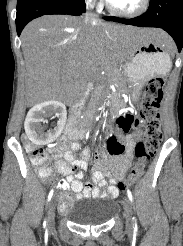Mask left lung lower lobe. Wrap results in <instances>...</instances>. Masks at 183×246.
I'll return each mask as SVG.
<instances>
[{
    "label": "left lung lower lobe",
    "mask_w": 183,
    "mask_h": 246,
    "mask_svg": "<svg viewBox=\"0 0 183 246\" xmlns=\"http://www.w3.org/2000/svg\"><path fill=\"white\" fill-rule=\"evenodd\" d=\"M105 20L138 27H157L169 33L179 52L183 47V0H150L149 8L141 16L122 19L113 16Z\"/></svg>",
    "instance_id": "obj_1"
}]
</instances>
